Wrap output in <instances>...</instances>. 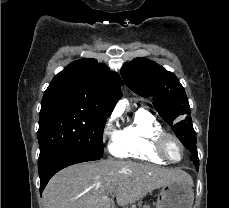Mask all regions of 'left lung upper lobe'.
<instances>
[{
    "label": "left lung upper lobe",
    "mask_w": 229,
    "mask_h": 208,
    "mask_svg": "<svg viewBox=\"0 0 229 208\" xmlns=\"http://www.w3.org/2000/svg\"><path fill=\"white\" fill-rule=\"evenodd\" d=\"M127 86L143 97H154L153 105L182 143L196 141L189 102L178 78L159 64L136 58L122 67Z\"/></svg>",
    "instance_id": "obj_1"
}]
</instances>
